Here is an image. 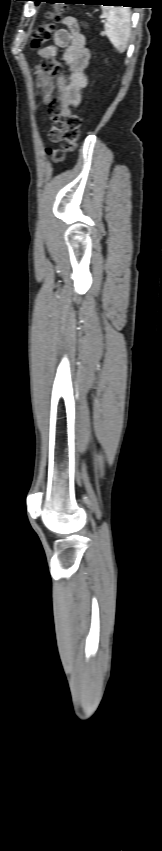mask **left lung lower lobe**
I'll list each match as a JSON object with an SVG mask.
<instances>
[{
	"instance_id": "0a47b994",
	"label": "left lung lower lobe",
	"mask_w": 162,
	"mask_h": 851,
	"mask_svg": "<svg viewBox=\"0 0 162 851\" xmlns=\"http://www.w3.org/2000/svg\"><path fill=\"white\" fill-rule=\"evenodd\" d=\"M41 1H45V2H55V3H56V1H55V0H37V1H36V4H38V3H39V2H41ZM96 1H97V2H100V3L102 2V3H104V5H122V6H127L128 4H132V3H134V1H133V0H96ZM66 3H76V2H75V1H70V2H66Z\"/></svg>"
}]
</instances>
